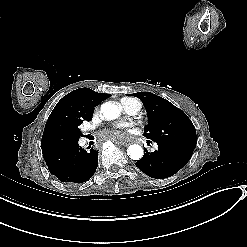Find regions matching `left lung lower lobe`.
I'll list each match as a JSON object with an SVG mask.
<instances>
[{
  "label": "left lung lower lobe",
  "instance_id": "left-lung-lower-lobe-1",
  "mask_svg": "<svg viewBox=\"0 0 247 247\" xmlns=\"http://www.w3.org/2000/svg\"><path fill=\"white\" fill-rule=\"evenodd\" d=\"M158 144V150L146 151L135 165L148 176L164 179L177 173L191 158L193 151L172 145Z\"/></svg>",
  "mask_w": 247,
  "mask_h": 247
}]
</instances>
